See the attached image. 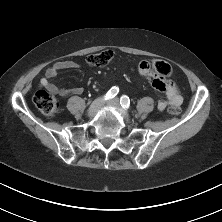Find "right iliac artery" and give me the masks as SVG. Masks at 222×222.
<instances>
[{
    "label": "right iliac artery",
    "mask_w": 222,
    "mask_h": 222,
    "mask_svg": "<svg viewBox=\"0 0 222 222\" xmlns=\"http://www.w3.org/2000/svg\"><path fill=\"white\" fill-rule=\"evenodd\" d=\"M119 92V88L113 86L105 95V100L114 98Z\"/></svg>",
    "instance_id": "82829eb1"
}]
</instances>
